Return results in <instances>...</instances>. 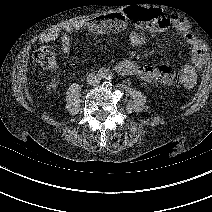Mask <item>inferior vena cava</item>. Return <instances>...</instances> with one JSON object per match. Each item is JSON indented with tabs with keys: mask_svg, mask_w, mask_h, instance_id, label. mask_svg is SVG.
Wrapping results in <instances>:
<instances>
[{
	"mask_svg": "<svg viewBox=\"0 0 212 212\" xmlns=\"http://www.w3.org/2000/svg\"><path fill=\"white\" fill-rule=\"evenodd\" d=\"M87 82L91 86H96L101 82V77L98 74L91 73L88 77Z\"/></svg>",
	"mask_w": 212,
	"mask_h": 212,
	"instance_id": "602c4592",
	"label": "inferior vena cava"
}]
</instances>
